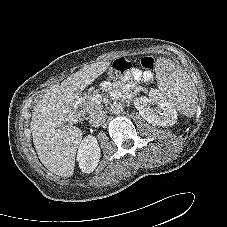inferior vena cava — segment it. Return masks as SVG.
<instances>
[{
    "mask_svg": "<svg viewBox=\"0 0 227 227\" xmlns=\"http://www.w3.org/2000/svg\"><path fill=\"white\" fill-rule=\"evenodd\" d=\"M106 115L102 110H95L89 116V123L93 127H99L105 122Z\"/></svg>",
    "mask_w": 227,
    "mask_h": 227,
    "instance_id": "obj_1",
    "label": "inferior vena cava"
}]
</instances>
